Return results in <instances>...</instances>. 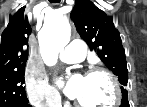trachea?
<instances>
[{
    "instance_id": "obj_1",
    "label": "trachea",
    "mask_w": 147,
    "mask_h": 107,
    "mask_svg": "<svg viewBox=\"0 0 147 107\" xmlns=\"http://www.w3.org/2000/svg\"><path fill=\"white\" fill-rule=\"evenodd\" d=\"M50 2H51V3H59L60 0H51Z\"/></svg>"
}]
</instances>
